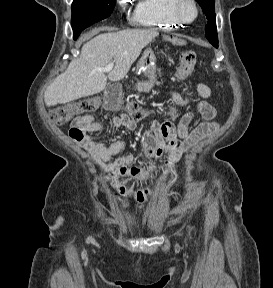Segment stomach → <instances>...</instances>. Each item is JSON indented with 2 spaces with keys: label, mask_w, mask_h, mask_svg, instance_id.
<instances>
[{
  "label": "stomach",
  "mask_w": 273,
  "mask_h": 288,
  "mask_svg": "<svg viewBox=\"0 0 273 288\" xmlns=\"http://www.w3.org/2000/svg\"><path fill=\"white\" fill-rule=\"evenodd\" d=\"M155 62H156V56L152 48H147L143 55L141 56L138 65H137V71L143 72L144 74L151 76L150 79H154V71H155ZM151 85L149 83H142L140 84L137 89L139 91H149L151 89Z\"/></svg>",
  "instance_id": "1"
}]
</instances>
